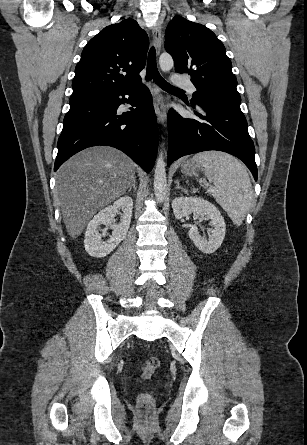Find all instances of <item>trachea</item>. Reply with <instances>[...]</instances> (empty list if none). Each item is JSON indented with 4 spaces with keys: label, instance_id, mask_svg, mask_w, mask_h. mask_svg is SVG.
<instances>
[{
    "label": "trachea",
    "instance_id": "trachea-1",
    "mask_svg": "<svg viewBox=\"0 0 307 445\" xmlns=\"http://www.w3.org/2000/svg\"><path fill=\"white\" fill-rule=\"evenodd\" d=\"M153 80L159 87L163 88V90H181L180 88L173 87L170 83L166 82V80L160 75L156 65V53L155 49L152 47L149 51L148 55V63H147V72H146V80Z\"/></svg>",
    "mask_w": 307,
    "mask_h": 445
}]
</instances>
